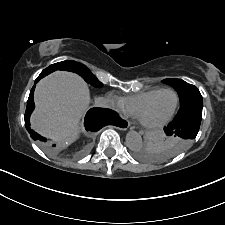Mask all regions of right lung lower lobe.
Masks as SVG:
<instances>
[{
  "label": "right lung lower lobe",
  "instance_id": "right-lung-lower-lobe-1",
  "mask_svg": "<svg viewBox=\"0 0 225 225\" xmlns=\"http://www.w3.org/2000/svg\"><path fill=\"white\" fill-rule=\"evenodd\" d=\"M50 73L51 71H47L44 69L42 73L35 80V84L41 78L45 77L46 75ZM34 89H35V86H33V88L31 89L30 95L27 101V108L25 112V126L33 140H37L38 142H40L46 149L53 150V147L55 146V144H51L47 142V140L44 137L40 136L39 134L31 130L30 128L29 118L35 107L34 101H33ZM117 117L118 115L112 110L103 109V108H92L86 114L85 127L89 131H97L101 129L103 126H105L110 120Z\"/></svg>",
  "mask_w": 225,
  "mask_h": 225
}]
</instances>
